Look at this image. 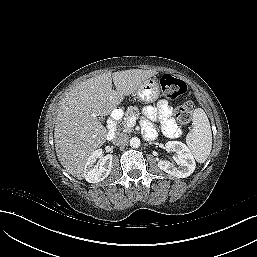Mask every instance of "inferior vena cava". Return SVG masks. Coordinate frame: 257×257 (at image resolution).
<instances>
[{
	"mask_svg": "<svg viewBox=\"0 0 257 257\" xmlns=\"http://www.w3.org/2000/svg\"><path fill=\"white\" fill-rule=\"evenodd\" d=\"M129 137L127 134H118L114 140H113V144L117 145V146H124L128 143Z\"/></svg>",
	"mask_w": 257,
	"mask_h": 257,
	"instance_id": "inferior-vena-cava-1",
	"label": "inferior vena cava"
}]
</instances>
